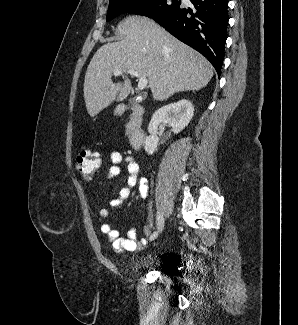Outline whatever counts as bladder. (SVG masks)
I'll list each match as a JSON object with an SVG mask.
<instances>
[{"label": "bladder", "mask_w": 298, "mask_h": 325, "mask_svg": "<svg viewBox=\"0 0 298 325\" xmlns=\"http://www.w3.org/2000/svg\"><path fill=\"white\" fill-rule=\"evenodd\" d=\"M145 266H146L145 264H142L140 266H137V267L134 268V271L135 272H139V271L143 270L145 268Z\"/></svg>", "instance_id": "1"}]
</instances>
